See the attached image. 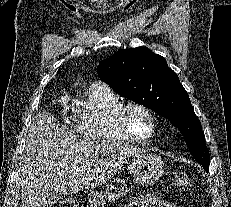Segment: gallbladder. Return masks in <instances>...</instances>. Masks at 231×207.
<instances>
[{"instance_id": "gallbladder-1", "label": "gallbladder", "mask_w": 231, "mask_h": 207, "mask_svg": "<svg viewBox=\"0 0 231 207\" xmlns=\"http://www.w3.org/2000/svg\"><path fill=\"white\" fill-rule=\"evenodd\" d=\"M63 199L62 194L58 192H54L47 198V207H51L54 204L61 203V200Z\"/></svg>"}]
</instances>
